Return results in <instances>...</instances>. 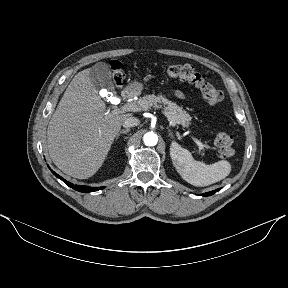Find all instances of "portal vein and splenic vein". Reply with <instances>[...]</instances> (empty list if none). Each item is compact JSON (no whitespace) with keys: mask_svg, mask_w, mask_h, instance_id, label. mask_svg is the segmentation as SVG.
Returning <instances> with one entry per match:
<instances>
[{"mask_svg":"<svg viewBox=\"0 0 288 288\" xmlns=\"http://www.w3.org/2000/svg\"><path fill=\"white\" fill-rule=\"evenodd\" d=\"M158 108H161L159 106H157ZM141 109L135 104V103H128V104H125L123 105L122 107L120 108H115L112 113L113 114H120V113H123V112H126V111H132V112H138L140 111ZM164 114L169 118L171 119V117L169 116V113L164 110ZM172 120V119H171ZM173 121V120H172ZM193 141L199 146V149L202 148V143L200 141H198L197 139H195L194 137H192Z\"/></svg>","mask_w":288,"mask_h":288,"instance_id":"18ae733b","label":"portal vein and splenic vein"}]
</instances>
